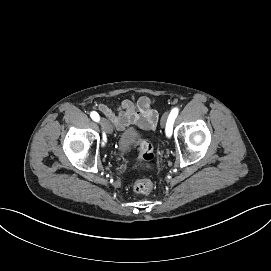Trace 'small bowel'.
I'll use <instances>...</instances> for the list:
<instances>
[{"mask_svg":"<svg viewBox=\"0 0 271 271\" xmlns=\"http://www.w3.org/2000/svg\"><path fill=\"white\" fill-rule=\"evenodd\" d=\"M152 104L149 97L142 96L137 101L123 100L116 110L105 103H99L98 110L119 131L129 125H136L142 130H152L159 119V113L152 108Z\"/></svg>","mask_w":271,"mask_h":271,"instance_id":"obj_1","label":"small bowel"}]
</instances>
